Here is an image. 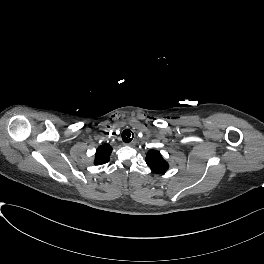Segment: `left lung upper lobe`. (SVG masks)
Wrapping results in <instances>:
<instances>
[{
    "label": "left lung upper lobe",
    "mask_w": 264,
    "mask_h": 264,
    "mask_svg": "<svg viewBox=\"0 0 264 264\" xmlns=\"http://www.w3.org/2000/svg\"><path fill=\"white\" fill-rule=\"evenodd\" d=\"M145 160L147 165L151 168L154 173H164L169 168L168 163L163 159L160 152L156 150H150L146 154Z\"/></svg>",
    "instance_id": "1"
}]
</instances>
